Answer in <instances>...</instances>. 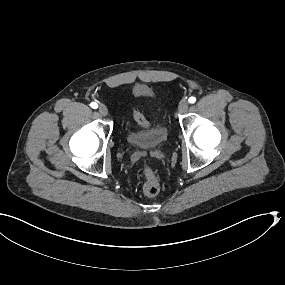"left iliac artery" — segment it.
<instances>
[{
	"mask_svg": "<svg viewBox=\"0 0 285 285\" xmlns=\"http://www.w3.org/2000/svg\"><path fill=\"white\" fill-rule=\"evenodd\" d=\"M188 101H189V103H195L196 98L192 96L188 99Z\"/></svg>",
	"mask_w": 285,
	"mask_h": 285,
	"instance_id": "left-iliac-artery-1",
	"label": "left iliac artery"
}]
</instances>
